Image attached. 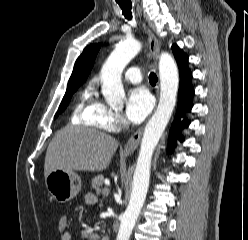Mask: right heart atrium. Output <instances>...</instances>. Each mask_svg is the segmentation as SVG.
Segmentation results:
<instances>
[{"mask_svg": "<svg viewBox=\"0 0 248 240\" xmlns=\"http://www.w3.org/2000/svg\"><path fill=\"white\" fill-rule=\"evenodd\" d=\"M93 124L105 131H115L125 125V120L120 113L100 103L93 116Z\"/></svg>", "mask_w": 248, "mask_h": 240, "instance_id": "1", "label": "right heart atrium"}]
</instances>
